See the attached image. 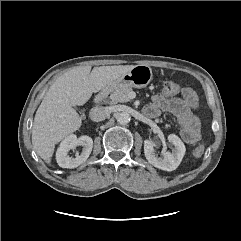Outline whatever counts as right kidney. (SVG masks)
Instances as JSON below:
<instances>
[{
	"mask_svg": "<svg viewBox=\"0 0 241 241\" xmlns=\"http://www.w3.org/2000/svg\"><path fill=\"white\" fill-rule=\"evenodd\" d=\"M82 145L83 150L80 155L69 157L68 153L76 146ZM93 148V140L89 136H81L77 138L76 135L71 134L67 136L60 144L56 152V160L62 168H76L87 160Z\"/></svg>",
	"mask_w": 241,
	"mask_h": 241,
	"instance_id": "1",
	"label": "right kidney"
}]
</instances>
